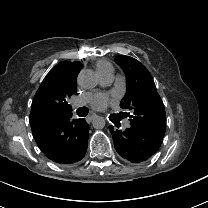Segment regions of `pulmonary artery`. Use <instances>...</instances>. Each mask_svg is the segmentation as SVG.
<instances>
[{
  "instance_id": "1",
  "label": "pulmonary artery",
  "mask_w": 208,
  "mask_h": 208,
  "mask_svg": "<svg viewBox=\"0 0 208 208\" xmlns=\"http://www.w3.org/2000/svg\"><path fill=\"white\" fill-rule=\"evenodd\" d=\"M103 82L107 83L113 79V70L102 76Z\"/></svg>"
}]
</instances>
